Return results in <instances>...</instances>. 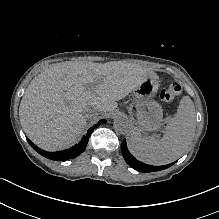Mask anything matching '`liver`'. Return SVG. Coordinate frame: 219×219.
I'll return each instance as SVG.
<instances>
[{"label": "liver", "mask_w": 219, "mask_h": 219, "mask_svg": "<svg viewBox=\"0 0 219 219\" xmlns=\"http://www.w3.org/2000/svg\"><path fill=\"white\" fill-rule=\"evenodd\" d=\"M149 74L144 67L115 61L65 62L47 67L31 80L22 97V128L42 150L68 149L81 137L87 120L115 111L116 101L126 97ZM93 84L92 92L84 88Z\"/></svg>", "instance_id": "liver-1"}]
</instances>
